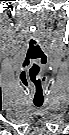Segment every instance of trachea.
<instances>
[{"mask_svg": "<svg viewBox=\"0 0 69 135\" xmlns=\"http://www.w3.org/2000/svg\"><path fill=\"white\" fill-rule=\"evenodd\" d=\"M35 104V106H37V107H40L41 105H42V103H34Z\"/></svg>", "mask_w": 69, "mask_h": 135, "instance_id": "obj_1", "label": "trachea"}]
</instances>
